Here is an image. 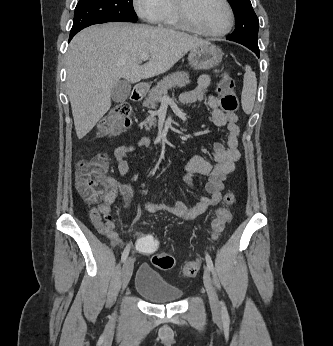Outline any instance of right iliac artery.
Instances as JSON below:
<instances>
[{"label": "right iliac artery", "instance_id": "right-iliac-artery-1", "mask_svg": "<svg viewBox=\"0 0 333 346\" xmlns=\"http://www.w3.org/2000/svg\"><path fill=\"white\" fill-rule=\"evenodd\" d=\"M129 251H130V245H128L122 253V256H121L122 262H124L127 259L128 255H129Z\"/></svg>", "mask_w": 333, "mask_h": 346}]
</instances>
